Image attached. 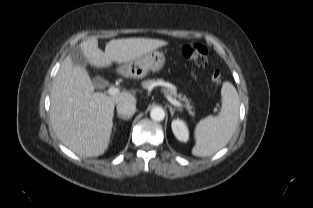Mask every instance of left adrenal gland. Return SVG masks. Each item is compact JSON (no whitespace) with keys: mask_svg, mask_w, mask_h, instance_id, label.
I'll return each mask as SVG.
<instances>
[{"mask_svg":"<svg viewBox=\"0 0 313 208\" xmlns=\"http://www.w3.org/2000/svg\"><path fill=\"white\" fill-rule=\"evenodd\" d=\"M168 108H169V110H170L171 117H173L174 112H175L176 110L181 111V109L172 108V106H170V105H168Z\"/></svg>","mask_w":313,"mask_h":208,"instance_id":"obj_1","label":"left adrenal gland"}]
</instances>
